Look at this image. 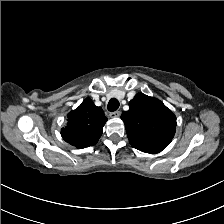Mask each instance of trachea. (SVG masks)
<instances>
[{"label":"trachea","instance_id":"obj_1","mask_svg":"<svg viewBox=\"0 0 224 224\" xmlns=\"http://www.w3.org/2000/svg\"><path fill=\"white\" fill-rule=\"evenodd\" d=\"M107 108L111 112L116 111L119 108V101L116 98H112L109 101Z\"/></svg>","mask_w":224,"mask_h":224}]
</instances>
